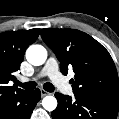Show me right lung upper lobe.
Here are the masks:
<instances>
[{
    "label": "right lung upper lobe",
    "mask_w": 119,
    "mask_h": 119,
    "mask_svg": "<svg viewBox=\"0 0 119 119\" xmlns=\"http://www.w3.org/2000/svg\"><path fill=\"white\" fill-rule=\"evenodd\" d=\"M38 35V28L0 33V96L22 91L8 82L16 79L13 73L20 69L26 48Z\"/></svg>",
    "instance_id": "obj_1"
}]
</instances>
